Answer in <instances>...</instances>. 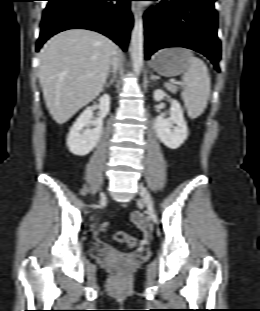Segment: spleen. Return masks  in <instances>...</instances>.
Returning <instances> with one entry per match:
<instances>
[{
    "instance_id": "1",
    "label": "spleen",
    "mask_w": 260,
    "mask_h": 311,
    "mask_svg": "<svg viewBox=\"0 0 260 311\" xmlns=\"http://www.w3.org/2000/svg\"><path fill=\"white\" fill-rule=\"evenodd\" d=\"M187 53L191 57L189 59V68L182 76L185 88L181 95L188 116L195 119L204 112L207 106L210 95V76L204 61L193 57L190 50H187Z\"/></svg>"
}]
</instances>
